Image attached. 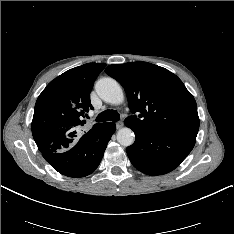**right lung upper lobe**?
Segmentation results:
<instances>
[{
	"instance_id": "right-lung-upper-lobe-1",
	"label": "right lung upper lobe",
	"mask_w": 234,
	"mask_h": 234,
	"mask_svg": "<svg viewBox=\"0 0 234 234\" xmlns=\"http://www.w3.org/2000/svg\"><path fill=\"white\" fill-rule=\"evenodd\" d=\"M104 63H87L52 80L39 95L32 134L42 153H57L74 146L82 135L84 116L93 109L90 92ZM95 124L93 127L100 125Z\"/></svg>"
}]
</instances>
